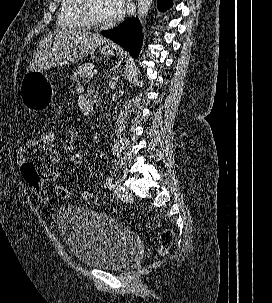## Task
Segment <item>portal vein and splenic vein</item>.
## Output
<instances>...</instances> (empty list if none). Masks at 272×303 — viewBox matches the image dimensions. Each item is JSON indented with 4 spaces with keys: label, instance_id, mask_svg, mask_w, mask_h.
<instances>
[{
    "label": "portal vein and splenic vein",
    "instance_id": "1",
    "mask_svg": "<svg viewBox=\"0 0 272 303\" xmlns=\"http://www.w3.org/2000/svg\"><path fill=\"white\" fill-rule=\"evenodd\" d=\"M95 74H97V70H91L87 74V78H92Z\"/></svg>",
    "mask_w": 272,
    "mask_h": 303
}]
</instances>
